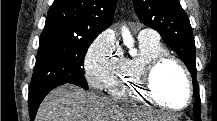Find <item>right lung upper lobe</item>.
Here are the masks:
<instances>
[{
	"label": "right lung upper lobe",
	"instance_id": "1",
	"mask_svg": "<svg viewBox=\"0 0 217 121\" xmlns=\"http://www.w3.org/2000/svg\"><path fill=\"white\" fill-rule=\"evenodd\" d=\"M117 0H54L42 33L96 38L113 21Z\"/></svg>",
	"mask_w": 217,
	"mask_h": 121
}]
</instances>
